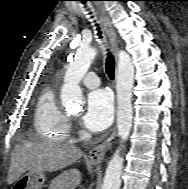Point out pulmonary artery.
Listing matches in <instances>:
<instances>
[{
	"label": "pulmonary artery",
	"mask_w": 188,
	"mask_h": 189,
	"mask_svg": "<svg viewBox=\"0 0 188 189\" xmlns=\"http://www.w3.org/2000/svg\"><path fill=\"white\" fill-rule=\"evenodd\" d=\"M82 83L88 88H95L100 84V79L95 73L90 72L82 78Z\"/></svg>",
	"instance_id": "e3ab8cb5"
}]
</instances>
